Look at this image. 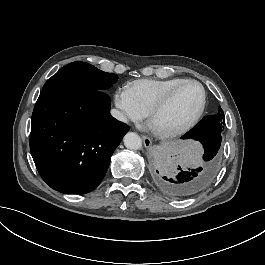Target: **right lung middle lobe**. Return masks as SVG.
Segmentation results:
<instances>
[{
    "instance_id": "dd1d6c3e",
    "label": "right lung middle lobe",
    "mask_w": 265,
    "mask_h": 265,
    "mask_svg": "<svg viewBox=\"0 0 265 265\" xmlns=\"http://www.w3.org/2000/svg\"><path fill=\"white\" fill-rule=\"evenodd\" d=\"M114 73L103 72L96 67L76 61L61 68L43 86V90L87 91L105 90L117 80Z\"/></svg>"
}]
</instances>
